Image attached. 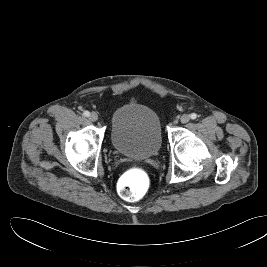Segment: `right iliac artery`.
Wrapping results in <instances>:
<instances>
[{"mask_svg":"<svg viewBox=\"0 0 267 267\" xmlns=\"http://www.w3.org/2000/svg\"><path fill=\"white\" fill-rule=\"evenodd\" d=\"M83 115H84L85 117H89L90 112L86 110V111L83 112Z\"/></svg>","mask_w":267,"mask_h":267,"instance_id":"82829eb1","label":"right iliac artery"}]
</instances>
